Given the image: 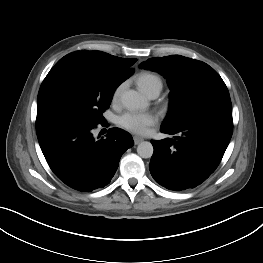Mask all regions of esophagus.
<instances>
[{
	"label": "esophagus",
	"mask_w": 263,
	"mask_h": 263,
	"mask_svg": "<svg viewBox=\"0 0 263 263\" xmlns=\"http://www.w3.org/2000/svg\"><path fill=\"white\" fill-rule=\"evenodd\" d=\"M133 140H134V143L137 145V144L141 143L144 139L140 136H134Z\"/></svg>",
	"instance_id": "esophagus-1"
}]
</instances>
